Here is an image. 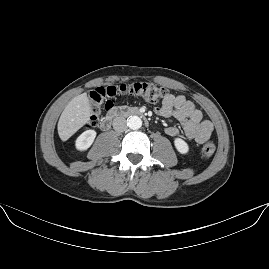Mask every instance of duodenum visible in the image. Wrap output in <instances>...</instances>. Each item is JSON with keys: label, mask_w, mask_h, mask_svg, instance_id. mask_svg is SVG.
<instances>
[{"label": "duodenum", "mask_w": 269, "mask_h": 269, "mask_svg": "<svg viewBox=\"0 0 269 269\" xmlns=\"http://www.w3.org/2000/svg\"><path fill=\"white\" fill-rule=\"evenodd\" d=\"M128 116L144 117V113L136 107H127V106L113 107L102 119L100 127L102 130H109L115 119ZM145 123L146 125H148L147 120H145Z\"/></svg>", "instance_id": "1"}]
</instances>
